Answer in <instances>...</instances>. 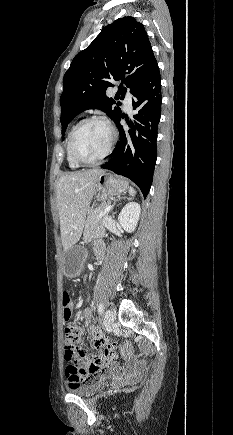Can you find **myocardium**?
<instances>
[{
	"instance_id": "obj_1",
	"label": "myocardium",
	"mask_w": 233,
	"mask_h": 435,
	"mask_svg": "<svg viewBox=\"0 0 233 435\" xmlns=\"http://www.w3.org/2000/svg\"><path fill=\"white\" fill-rule=\"evenodd\" d=\"M91 122L101 123L107 127V129L109 131V141H108V144H107L105 151L103 152V154L101 156H99L95 160L86 161L77 152L76 144H75V137H76L78 130L80 129V127L82 125H84L86 123H91ZM115 139H116V132H115L114 128L112 127V125L109 123V121H107L105 118L100 117V116H90V117L81 119L80 121H78L75 124V126L73 127L71 134H70L69 147H70L71 156L74 159V161L80 166L98 165L111 153Z\"/></svg>"
}]
</instances>
